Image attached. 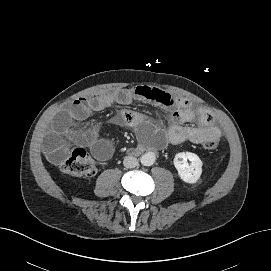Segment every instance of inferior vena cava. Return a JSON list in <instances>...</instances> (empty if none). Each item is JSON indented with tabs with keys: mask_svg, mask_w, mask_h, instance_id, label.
Instances as JSON below:
<instances>
[{
	"mask_svg": "<svg viewBox=\"0 0 271 271\" xmlns=\"http://www.w3.org/2000/svg\"><path fill=\"white\" fill-rule=\"evenodd\" d=\"M123 165L126 168H134L139 165L138 159L133 156H127L123 160Z\"/></svg>",
	"mask_w": 271,
	"mask_h": 271,
	"instance_id": "obj_1",
	"label": "inferior vena cava"
}]
</instances>
